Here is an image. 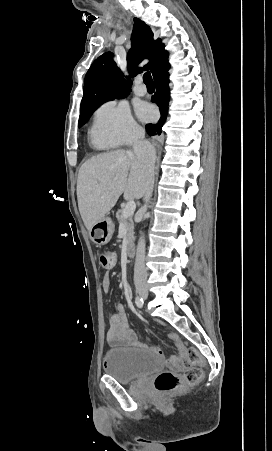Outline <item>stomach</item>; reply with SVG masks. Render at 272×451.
Returning a JSON list of instances; mask_svg holds the SVG:
<instances>
[{
	"label": "stomach",
	"instance_id": "stomach-1",
	"mask_svg": "<svg viewBox=\"0 0 272 451\" xmlns=\"http://www.w3.org/2000/svg\"><path fill=\"white\" fill-rule=\"evenodd\" d=\"M114 224L111 218H101L89 229V237L96 245H105L112 237Z\"/></svg>",
	"mask_w": 272,
	"mask_h": 451
}]
</instances>
